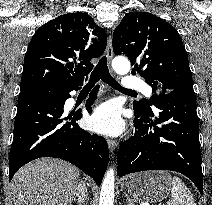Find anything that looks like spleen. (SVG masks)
Segmentation results:
<instances>
[{
    "mask_svg": "<svg viewBox=\"0 0 212 205\" xmlns=\"http://www.w3.org/2000/svg\"><path fill=\"white\" fill-rule=\"evenodd\" d=\"M171 200L167 205H196L193 195L184 184V182L177 176L171 179Z\"/></svg>",
    "mask_w": 212,
    "mask_h": 205,
    "instance_id": "obj_1",
    "label": "spleen"
}]
</instances>
